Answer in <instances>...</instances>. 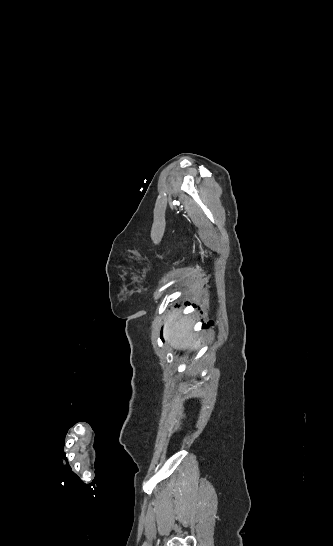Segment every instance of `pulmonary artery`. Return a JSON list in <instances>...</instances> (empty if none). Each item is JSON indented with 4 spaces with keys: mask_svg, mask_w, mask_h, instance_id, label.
<instances>
[{
    "mask_svg": "<svg viewBox=\"0 0 333 546\" xmlns=\"http://www.w3.org/2000/svg\"><path fill=\"white\" fill-rule=\"evenodd\" d=\"M273 14H282V13L278 12V13H273Z\"/></svg>",
    "mask_w": 333,
    "mask_h": 546,
    "instance_id": "obj_1",
    "label": "pulmonary artery"
}]
</instances>
